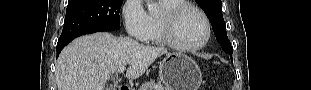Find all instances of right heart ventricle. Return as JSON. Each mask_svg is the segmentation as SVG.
Returning a JSON list of instances; mask_svg holds the SVG:
<instances>
[{"label":"right heart ventricle","instance_id":"1","mask_svg":"<svg viewBox=\"0 0 311 90\" xmlns=\"http://www.w3.org/2000/svg\"><path fill=\"white\" fill-rule=\"evenodd\" d=\"M184 3L181 0H162L161 4L163 7V11L178 6ZM160 14L151 13L149 14V32L145 39L147 42H152L155 44H164L161 33H160V25H159Z\"/></svg>","mask_w":311,"mask_h":90}]
</instances>
